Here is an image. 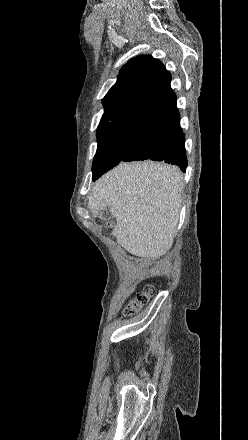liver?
I'll list each match as a JSON object with an SVG mask.
<instances>
[{
  "label": "liver",
  "mask_w": 248,
  "mask_h": 440,
  "mask_svg": "<svg viewBox=\"0 0 248 440\" xmlns=\"http://www.w3.org/2000/svg\"><path fill=\"white\" fill-rule=\"evenodd\" d=\"M179 169L152 161L120 163L95 184L88 208L109 207L116 218L112 235L132 255L157 258L172 247L182 202Z\"/></svg>",
  "instance_id": "liver-1"
}]
</instances>
